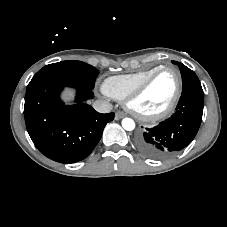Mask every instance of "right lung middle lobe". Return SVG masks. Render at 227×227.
<instances>
[{"label":"right lung middle lobe","mask_w":227,"mask_h":227,"mask_svg":"<svg viewBox=\"0 0 227 227\" xmlns=\"http://www.w3.org/2000/svg\"><path fill=\"white\" fill-rule=\"evenodd\" d=\"M98 74L99 71L96 68L84 62L62 61L44 66L34 75L30 83L45 78L57 77L93 89Z\"/></svg>","instance_id":"obj_1"}]
</instances>
